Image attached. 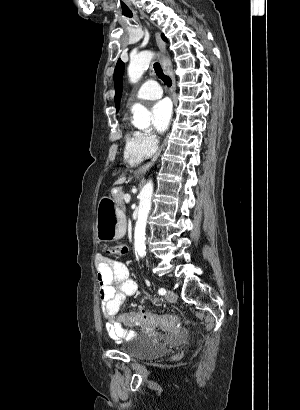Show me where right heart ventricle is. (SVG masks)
<instances>
[{
	"label": "right heart ventricle",
	"instance_id": "1",
	"mask_svg": "<svg viewBox=\"0 0 300 410\" xmlns=\"http://www.w3.org/2000/svg\"><path fill=\"white\" fill-rule=\"evenodd\" d=\"M124 141V159L127 163H138L148 157V155H145L138 146L137 132L127 131L124 136Z\"/></svg>",
	"mask_w": 300,
	"mask_h": 410
}]
</instances>
